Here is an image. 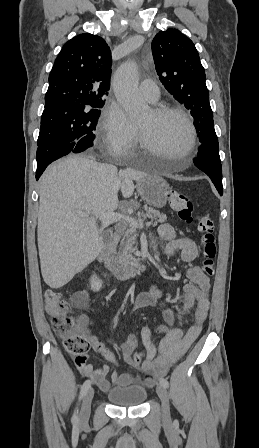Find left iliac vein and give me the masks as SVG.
<instances>
[{"label": "left iliac vein", "instance_id": "left-iliac-vein-1", "mask_svg": "<svg viewBox=\"0 0 259 448\" xmlns=\"http://www.w3.org/2000/svg\"><path fill=\"white\" fill-rule=\"evenodd\" d=\"M156 392L161 400L162 403V413H163V419L165 421L170 420V408H169V399H168V393L164 386L159 384L156 388Z\"/></svg>", "mask_w": 259, "mask_h": 448}]
</instances>
